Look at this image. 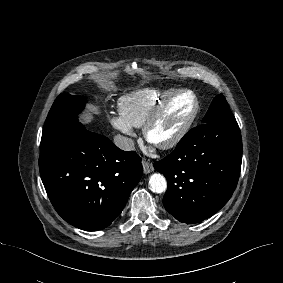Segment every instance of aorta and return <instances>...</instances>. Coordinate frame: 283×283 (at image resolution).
I'll return each mask as SVG.
<instances>
[{
	"mask_svg": "<svg viewBox=\"0 0 283 283\" xmlns=\"http://www.w3.org/2000/svg\"><path fill=\"white\" fill-rule=\"evenodd\" d=\"M149 186L154 193H163L167 188V182L162 174L154 173L149 178Z\"/></svg>",
	"mask_w": 283,
	"mask_h": 283,
	"instance_id": "aorta-1",
	"label": "aorta"
}]
</instances>
